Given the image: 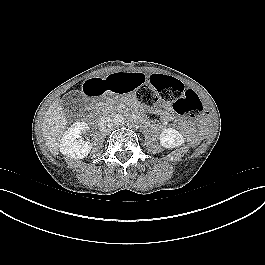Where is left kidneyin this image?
<instances>
[{"label":"left kidney","mask_w":265,"mask_h":265,"mask_svg":"<svg viewBox=\"0 0 265 265\" xmlns=\"http://www.w3.org/2000/svg\"><path fill=\"white\" fill-rule=\"evenodd\" d=\"M184 143V137L177 130L168 128L160 134V144L167 149L179 147Z\"/></svg>","instance_id":"1"}]
</instances>
